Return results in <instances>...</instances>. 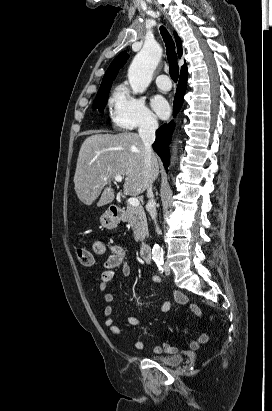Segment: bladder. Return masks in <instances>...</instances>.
Segmentation results:
<instances>
[{"label":"bladder","mask_w":272,"mask_h":411,"mask_svg":"<svg viewBox=\"0 0 272 411\" xmlns=\"http://www.w3.org/2000/svg\"><path fill=\"white\" fill-rule=\"evenodd\" d=\"M151 359L167 366H178L183 362L181 355H153Z\"/></svg>","instance_id":"obj_1"}]
</instances>
